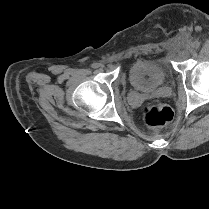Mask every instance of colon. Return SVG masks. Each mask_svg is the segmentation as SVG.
Listing matches in <instances>:
<instances>
[{
  "mask_svg": "<svg viewBox=\"0 0 209 209\" xmlns=\"http://www.w3.org/2000/svg\"><path fill=\"white\" fill-rule=\"evenodd\" d=\"M173 110L163 104H150L143 112V120L150 127H163L173 119Z\"/></svg>",
  "mask_w": 209,
  "mask_h": 209,
  "instance_id": "5ec220e1",
  "label": "colon"
}]
</instances>
